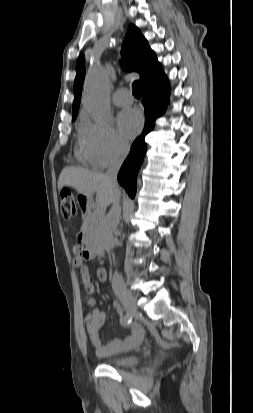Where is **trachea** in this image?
<instances>
[{
	"instance_id": "trachea-1",
	"label": "trachea",
	"mask_w": 253,
	"mask_h": 413,
	"mask_svg": "<svg viewBox=\"0 0 253 413\" xmlns=\"http://www.w3.org/2000/svg\"><path fill=\"white\" fill-rule=\"evenodd\" d=\"M132 93L135 97L140 98L142 94V88L139 81H134L132 84Z\"/></svg>"
}]
</instances>
